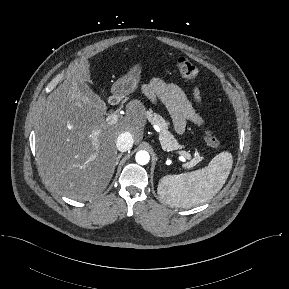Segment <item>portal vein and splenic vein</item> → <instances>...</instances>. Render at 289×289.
Listing matches in <instances>:
<instances>
[{
    "label": "portal vein and splenic vein",
    "mask_w": 289,
    "mask_h": 289,
    "mask_svg": "<svg viewBox=\"0 0 289 289\" xmlns=\"http://www.w3.org/2000/svg\"><path fill=\"white\" fill-rule=\"evenodd\" d=\"M118 120H119V115L116 113H112L106 118L107 123L110 125L116 124L118 122ZM178 154L181 155L180 156L181 161H185L186 159L187 160L191 159V155L186 151H180V152H178Z\"/></svg>",
    "instance_id": "obj_1"
}]
</instances>
